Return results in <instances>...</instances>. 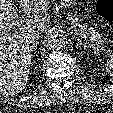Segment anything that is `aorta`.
<instances>
[{"label":"aorta","instance_id":"762f6f07","mask_svg":"<svg viewBox=\"0 0 113 113\" xmlns=\"http://www.w3.org/2000/svg\"><path fill=\"white\" fill-rule=\"evenodd\" d=\"M67 43V35L63 31H56L47 38V46L52 50H60Z\"/></svg>","mask_w":113,"mask_h":113}]
</instances>
